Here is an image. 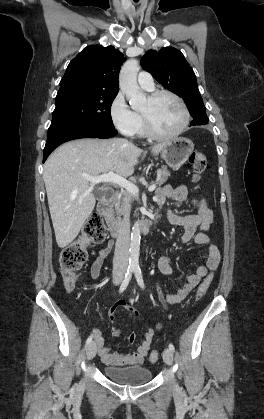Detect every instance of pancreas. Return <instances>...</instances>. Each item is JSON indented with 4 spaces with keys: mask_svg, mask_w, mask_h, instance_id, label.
<instances>
[{
    "mask_svg": "<svg viewBox=\"0 0 264 419\" xmlns=\"http://www.w3.org/2000/svg\"><path fill=\"white\" fill-rule=\"evenodd\" d=\"M157 174L159 175V178L157 179L156 184L160 187L167 181L168 177L170 176V171L167 169L166 166H162L160 169L157 170ZM134 200L139 201V197L129 192H124L122 206L130 207L131 202ZM115 209L117 213L121 211L120 203L116 204Z\"/></svg>",
    "mask_w": 264,
    "mask_h": 419,
    "instance_id": "obj_1",
    "label": "pancreas"
}]
</instances>
